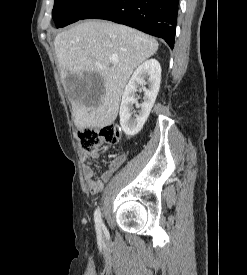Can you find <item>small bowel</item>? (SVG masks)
<instances>
[{
  "instance_id": "small-bowel-1",
  "label": "small bowel",
  "mask_w": 247,
  "mask_h": 275,
  "mask_svg": "<svg viewBox=\"0 0 247 275\" xmlns=\"http://www.w3.org/2000/svg\"><path fill=\"white\" fill-rule=\"evenodd\" d=\"M89 157L90 154L88 152L84 151L82 153L83 176L90 193L94 195L103 189L104 183L107 182L113 173L124 163L125 156L120 155L112 159L106 168L101 172L99 177H96L93 164L91 163Z\"/></svg>"
}]
</instances>
